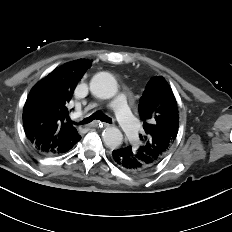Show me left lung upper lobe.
<instances>
[{
  "label": "left lung upper lobe",
  "instance_id": "1",
  "mask_svg": "<svg viewBox=\"0 0 232 232\" xmlns=\"http://www.w3.org/2000/svg\"><path fill=\"white\" fill-rule=\"evenodd\" d=\"M139 114L145 133L140 135L141 145L133 150L150 169L166 156L179 128L177 102L163 77L155 76L148 82L140 99Z\"/></svg>",
  "mask_w": 232,
  "mask_h": 232
}]
</instances>
